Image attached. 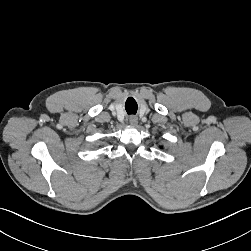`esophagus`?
Segmentation results:
<instances>
[{
	"instance_id": "1",
	"label": "esophagus",
	"mask_w": 251,
	"mask_h": 251,
	"mask_svg": "<svg viewBox=\"0 0 251 251\" xmlns=\"http://www.w3.org/2000/svg\"><path fill=\"white\" fill-rule=\"evenodd\" d=\"M137 123H138L137 117H135V116H130V117H129V124H130V125L136 126Z\"/></svg>"
}]
</instances>
